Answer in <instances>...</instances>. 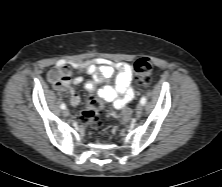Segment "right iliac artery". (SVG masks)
I'll return each instance as SVG.
<instances>
[{
	"label": "right iliac artery",
	"mask_w": 222,
	"mask_h": 187,
	"mask_svg": "<svg viewBox=\"0 0 222 187\" xmlns=\"http://www.w3.org/2000/svg\"><path fill=\"white\" fill-rule=\"evenodd\" d=\"M60 107H61V109H63V110L66 109V105H65L64 103H62Z\"/></svg>",
	"instance_id": "1"
}]
</instances>
